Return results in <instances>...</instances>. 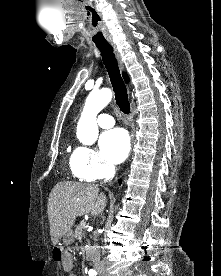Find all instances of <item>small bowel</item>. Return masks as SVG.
Wrapping results in <instances>:
<instances>
[{"mask_svg": "<svg viewBox=\"0 0 221 276\" xmlns=\"http://www.w3.org/2000/svg\"><path fill=\"white\" fill-rule=\"evenodd\" d=\"M63 269L68 273V276H77L76 273L73 271L74 263L73 257L70 253H66L64 259L62 260Z\"/></svg>", "mask_w": 221, "mask_h": 276, "instance_id": "obj_1", "label": "small bowel"}]
</instances>
